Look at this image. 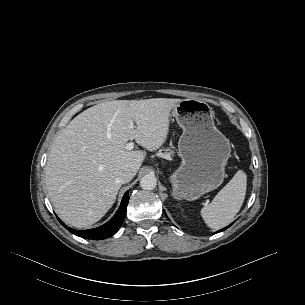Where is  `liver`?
Segmentation results:
<instances>
[{"instance_id":"liver-1","label":"liver","mask_w":305,"mask_h":305,"mask_svg":"<svg viewBox=\"0 0 305 305\" xmlns=\"http://www.w3.org/2000/svg\"><path fill=\"white\" fill-rule=\"evenodd\" d=\"M181 99L113 100L77 115L56 137L45 167L48 195L61 219L76 228L99 221L112 207L120 170L135 173L149 151L166 141L170 112ZM133 122L136 125L131 128Z\"/></svg>"}]
</instances>
